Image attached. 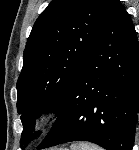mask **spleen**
I'll list each match as a JSON object with an SVG mask.
<instances>
[{"label":"spleen","mask_w":139,"mask_h":150,"mask_svg":"<svg viewBox=\"0 0 139 150\" xmlns=\"http://www.w3.org/2000/svg\"><path fill=\"white\" fill-rule=\"evenodd\" d=\"M71 150H103L102 148L88 143H79L77 145H72Z\"/></svg>","instance_id":"obj_1"}]
</instances>
